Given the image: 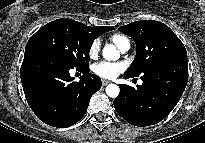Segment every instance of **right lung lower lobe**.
<instances>
[{"instance_id": "1", "label": "right lung lower lobe", "mask_w": 205, "mask_h": 143, "mask_svg": "<svg viewBox=\"0 0 205 143\" xmlns=\"http://www.w3.org/2000/svg\"><path fill=\"white\" fill-rule=\"evenodd\" d=\"M73 67L47 52L25 50L21 82L35 115L54 127H69L87 112L90 98L101 88V79L83 69L79 82L70 76Z\"/></svg>"}]
</instances>
